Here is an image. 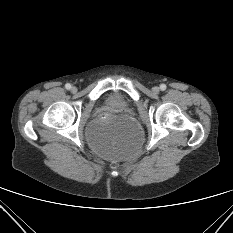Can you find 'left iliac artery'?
<instances>
[{"label":"left iliac artery","instance_id":"left-iliac-artery-1","mask_svg":"<svg viewBox=\"0 0 233 233\" xmlns=\"http://www.w3.org/2000/svg\"><path fill=\"white\" fill-rule=\"evenodd\" d=\"M160 89H161L162 91L166 90V85H165V84H161V85H160Z\"/></svg>","mask_w":233,"mask_h":233}]
</instances>
